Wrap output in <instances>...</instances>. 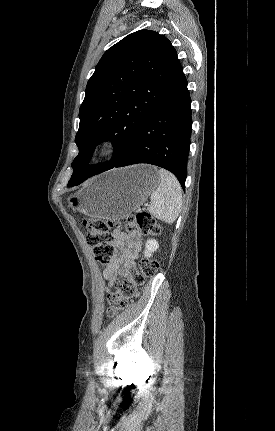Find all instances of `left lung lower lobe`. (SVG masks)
<instances>
[{"instance_id": "0a47b994", "label": "left lung lower lobe", "mask_w": 275, "mask_h": 431, "mask_svg": "<svg viewBox=\"0 0 275 431\" xmlns=\"http://www.w3.org/2000/svg\"><path fill=\"white\" fill-rule=\"evenodd\" d=\"M190 105L187 80L179 64L165 93L125 153L101 172L137 163L153 164L172 172L184 190L192 129ZM89 177L76 174L68 186L79 185Z\"/></svg>"}]
</instances>
